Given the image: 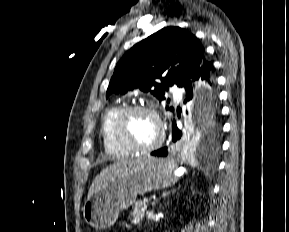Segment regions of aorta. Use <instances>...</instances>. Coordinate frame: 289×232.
<instances>
[{
    "mask_svg": "<svg viewBox=\"0 0 289 232\" xmlns=\"http://www.w3.org/2000/svg\"><path fill=\"white\" fill-rule=\"evenodd\" d=\"M212 111V100L209 94H205L204 100H203V107H202V114L197 121V123H200L204 117L208 116L210 112Z\"/></svg>",
    "mask_w": 289,
    "mask_h": 232,
    "instance_id": "762f6f07",
    "label": "aorta"
}]
</instances>
